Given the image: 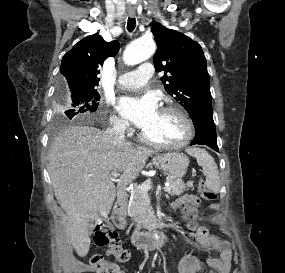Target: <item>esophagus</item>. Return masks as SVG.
<instances>
[{"mask_svg":"<svg viewBox=\"0 0 285 273\" xmlns=\"http://www.w3.org/2000/svg\"><path fill=\"white\" fill-rule=\"evenodd\" d=\"M128 15L131 16V17H133V16L135 15V12H134V11H129V12H128Z\"/></svg>","mask_w":285,"mask_h":273,"instance_id":"esophagus-1","label":"esophagus"}]
</instances>
